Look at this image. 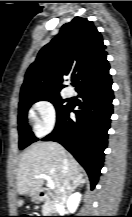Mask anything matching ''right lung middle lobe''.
<instances>
[{
    "mask_svg": "<svg viewBox=\"0 0 132 217\" xmlns=\"http://www.w3.org/2000/svg\"><path fill=\"white\" fill-rule=\"evenodd\" d=\"M46 100L51 102L57 112L58 116L68 107L69 104H66V100H63L60 97V94L52 95H42V96H27L20 98L19 102V114H18V131H19V148L24 149L29 146L31 143L37 141V138L33 135L30 128L27 124V112L30 106L37 102Z\"/></svg>",
    "mask_w": 132,
    "mask_h": 217,
    "instance_id": "dd1d6c3e",
    "label": "right lung middle lobe"
}]
</instances>
